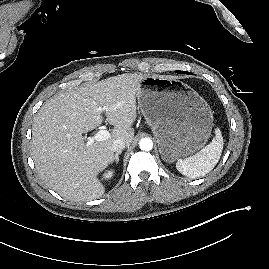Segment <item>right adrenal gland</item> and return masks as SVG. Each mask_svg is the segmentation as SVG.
Instances as JSON below:
<instances>
[{"label":"right adrenal gland","mask_w":269,"mask_h":269,"mask_svg":"<svg viewBox=\"0 0 269 269\" xmlns=\"http://www.w3.org/2000/svg\"><path fill=\"white\" fill-rule=\"evenodd\" d=\"M120 154H121V151H119V152H117V153L115 154L112 163H113V162H116V164L119 163V155H120Z\"/></svg>","instance_id":"1"}]
</instances>
